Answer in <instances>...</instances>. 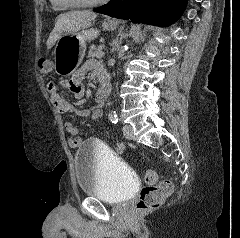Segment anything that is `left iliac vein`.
Wrapping results in <instances>:
<instances>
[{
  "instance_id": "obj_1",
  "label": "left iliac vein",
  "mask_w": 240,
  "mask_h": 238,
  "mask_svg": "<svg viewBox=\"0 0 240 238\" xmlns=\"http://www.w3.org/2000/svg\"><path fill=\"white\" fill-rule=\"evenodd\" d=\"M123 135L126 139L133 140L134 134H133V127L130 125H124L123 126Z\"/></svg>"
}]
</instances>
